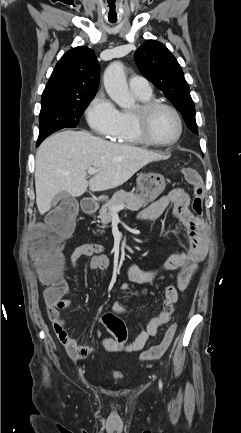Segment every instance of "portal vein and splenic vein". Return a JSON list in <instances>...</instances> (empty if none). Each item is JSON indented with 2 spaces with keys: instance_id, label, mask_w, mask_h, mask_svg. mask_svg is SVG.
Listing matches in <instances>:
<instances>
[{
  "instance_id": "1",
  "label": "portal vein and splenic vein",
  "mask_w": 241,
  "mask_h": 433,
  "mask_svg": "<svg viewBox=\"0 0 241 433\" xmlns=\"http://www.w3.org/2000/svg\"><path fill=\"white\" fill-rule=\"evenodd\" d=\"M87 172H88L89 175H94V174H96L98 172V170L95 169V168H89ZM123 208H124V205L113 206L111 208V211L113 212V215H116L117 212L120 211V210H122Z\"/></svg>"
}]
</instances>
